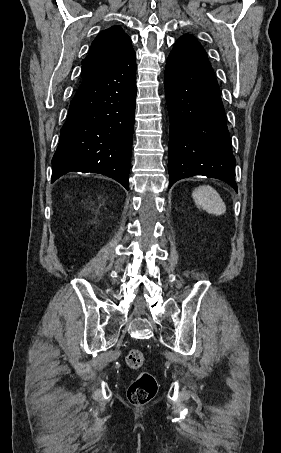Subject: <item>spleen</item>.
Listing matches in <instances>:
<instances>
[{"mask_svg": "<svg viewBox=\"0 0 281 453\" xmlns=\"http://www.w3.org/2000/svg\"><path fill=\"white\" fill-rule=\"evenodd\" d=\"M198 188H201L202 190L200 196H195V190L192 192L196 204H199L206 212L216 214V216L225 212L226 204L223 202L219 192H217L215 188H212V186H198Z\"/></svg>", "mask_w": 281, "mask_h": 453, "instance_id": "3e777b00", "label": "spleen"}]
</instances>
